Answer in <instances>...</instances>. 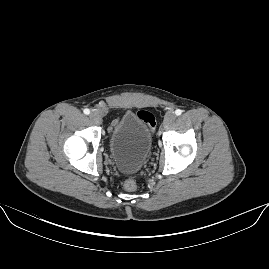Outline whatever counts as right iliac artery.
<instances>
[{"mask_svg": "<svg viewBox=\"0 0 269 269\" xmlns=\"http://www.w3.org/2000/svg\"><path fill=\"white\" fill-rule=\"evenodd\" d=\"M84 114L88 115L90 113V110L89 109H84Z\"/></svg>", "mask_w": 269, "mask_h": 269, "instance_id": "right-iliac-artery-1", "label": "right iliac artery"}]
</instances>
